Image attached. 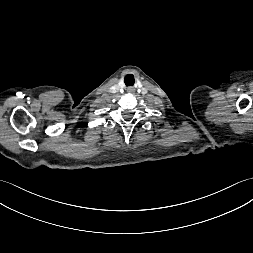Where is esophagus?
Here are the masks:
<instances>
[{
  "label": "esophagus",
  "mask_w": 253,
  "mask_h": 253,
  "mask_svg": "<svg viewBox=\"0 0 253 253\" xmlns=\"http://www.w3.org/2000/svg\"><path fill=\"white\" fill-rule=\"evenodd\" d=\"M133 91H134V89H133L132 87H128V88H127V92L131 93V92H133Z\"/></svg>",
  "instance_id": "esophagus-1"
}]
</instances>
